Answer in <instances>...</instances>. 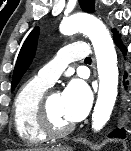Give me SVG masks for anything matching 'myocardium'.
Segmentation results:
<instances>
[{
    "label": "myocardium",
    "mask_w": 131,
    "mask_h": 151,
    "mask_svg": "<svg viewBox=\"0 0 131 151\" xmlns=\"http://www.w3.org/2000/svg\"><path fill=\"white\" fill-rule=\"evenodd\" d=\"M55 93H58V91L54 89H47L44 92L38 103V112H37V120L40 129L46 136L51 138L63 137L69 134L70 132H72L75 127L74 124H70L68 126L58 128L52 123L48 104H49L50 97Z\"/></svg>",
    "instance_id": "obj_1"
}]
</instances>
